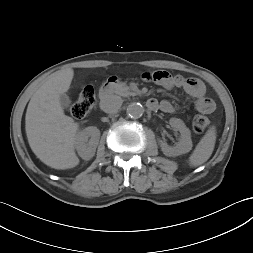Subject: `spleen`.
Listing matches in <instances>:
<instances>
[{
	"instance_id": "1",
	"label": "spleen",
	"mask_w": 253,
	"mask_h": 253,
	"mask_svg": "<svg viewBox=\"0 0 253 253\" xmlns=\"http://www.w3.org/2000/svg\"><path fill=\"white\" fill-rule=\"evenodd\" d=\"M215 142L216 129L215 127H210L191 154L189 158L190 166L197 167L205 163L214 150Z\"/></svg>"
}]
</instances>
